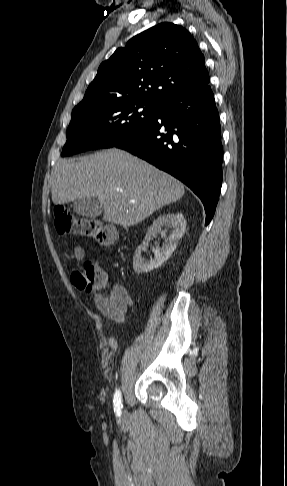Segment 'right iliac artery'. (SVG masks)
I'll use <instances>...</instances> for the list:
<instances>
[{"instance_id": "82829eb1", "label": "right iliac artery", "mask_w": 287, "mask_h": 486, "mask_svg": "<svg viewBox=\"0 0 287 486\" xmlns=\"http://www.w3.org/2000/svg\"><path fill=\"white\" fill-rule=\"evenodd\" d=\"M114 411L118 416L121 415L122 410V396L120 390H117L114 395Z\"/></svg>"}]
</instances>
